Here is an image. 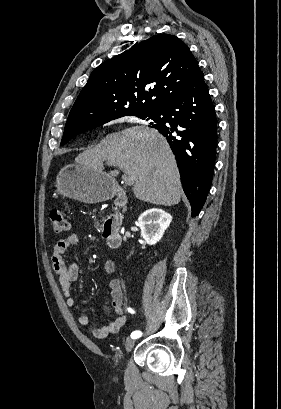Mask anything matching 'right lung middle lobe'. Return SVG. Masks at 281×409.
Listing matches in <instances>:
<instances>
[{"label":"right lung middle lobe","mask_w":281,"mask_h":409,"mask_svg":"<svg viewBox=\"0 0 281 409\" xmlns=\"http://www.w3.org/2000/svg\"><path fill=\"white\" fill-rule=\"evenodd\" d=\"M130 115L137 116V117H139L141 119H146L147 121L149 119H152V120L155 121L159 117L157 112H151V111L124 112V113H121V114L110 116L108 118H105V119L100 120V121H98L96 123L90 124L88 126L65 128L64 135H63V138H62V141H61V145L66 144L70 139H72L73 137H75L76 135H78V134H80L82 132H85L87 130L93 129V128L98 127L100 125H103V124H105V123H107V122H109L111 120H114V119H117V118H120V117H123V116H130Z\"/></svg>","instance_id":"dd1d6c3e"}]
</instances>
